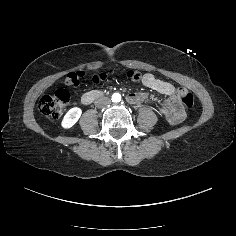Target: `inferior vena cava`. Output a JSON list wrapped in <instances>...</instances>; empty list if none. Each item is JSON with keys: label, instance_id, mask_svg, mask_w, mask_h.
Returning a JSON list of instances; mask_svg holds the SVG:
<instances>
[{"label": "inferior vena cava", "instance_id": "inferior-vena-cava-1", "mask_svg": "<svg viewBox=\"0 0 236 236\" xmlns=\"http://www.w3.org/2000/svg\"><path fill=\"white\" fill-rule=\"evenodd\" d=\"M111 104V100L108 97H100L95 101V106L98 108H103Z\"/></svg>", "mask_w": 236, "mask_h": 236}]
</instances>
